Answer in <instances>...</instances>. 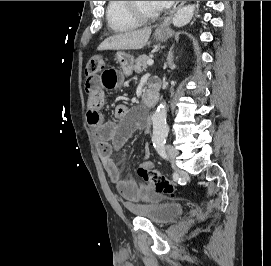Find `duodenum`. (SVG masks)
<instances>
[{
	"mask_svg": "<svg viewBox=\"0 0 271 266\" xmlns=\"http://www.w3.org/2000/svg\"><path fill=\"white\" fill-rule=\"evenodd\" d=\"M158 92L155 89H150L144 95V104L148 107H153L158 101Z\"/></svg>",
	"mask_w": 271,
	"mask_h": 266,
	"instance_id": "obj_1",
	"label": "duodenum"
}]
</instances>
